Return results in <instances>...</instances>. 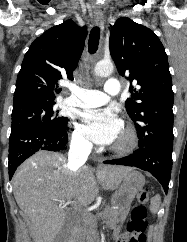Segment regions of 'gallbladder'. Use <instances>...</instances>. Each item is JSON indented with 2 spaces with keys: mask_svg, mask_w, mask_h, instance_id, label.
Instances as JSON below:
<instances>
[{
  "mask_svg": "<svg viewBox=\"0 0 187 242\" xmlns=\"http://www.w3.org/2000/svg\"><path fill=\"white\" fill-rule=\"evenodd\" d=\"M72 218L73 215L71 213H68L63 228L58 233L53 242H67L69 237V227L71 225Z\"/></svg>",
  "mask_w": 187,
  "mask_h": 242,
  "instance_id": "bac80fb5",
  "label": "gallbladder"
}]
</instances>
